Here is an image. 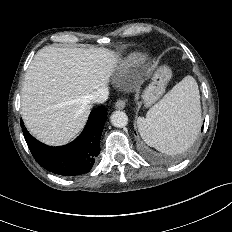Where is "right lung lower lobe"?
<instances>
[{
	"instance_id": "obj_1",
	"label": "right lung lower lobe",
	"mask_w": 232,
	"mask_h": 232,
	"mask_svg": "<svg viewBox=\"0 0 232 232\" xmlns=\"http://www.w3.org/2000/svg\"><path fill=\"white\" fill-rule=\"evenodd\" d=\"M107 120L104 106L94 109L83 132L73 142L61 147L47 146L32 137L21 121L27 145L35 160L52 173L73 176L88 173L100 153V137Z\"/></svg>"
}]
</instances>
